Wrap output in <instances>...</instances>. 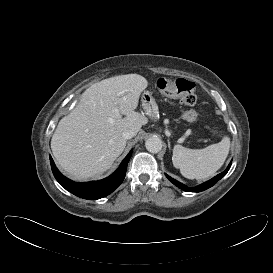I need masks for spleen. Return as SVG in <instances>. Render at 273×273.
<instances>
[{
	"mask_svg": "<svg viewBox=\"0 0 273 273\" xmlns=\"http://www.w3.org/2000/svg\"><path fill=\"white\" fill-rule=\"evenodd\" d=\"M229 148L228 137L203 149H189L177 144L173 148L172 162L185 178L206 179L222 167Z\"/></svg>",
	"mask_w": 273,
	"mask_h": 273,
	"instance_id": "3e777b00",
	"label": "spleen"
}]
</instances>
